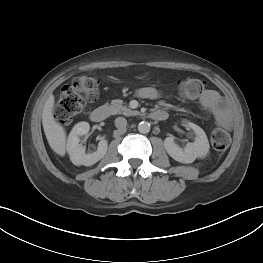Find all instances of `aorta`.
<instances>
[{
  "label": "aorta",
  "instance_id": "762f6f07",
  "mask_svg": "<svg viewBox=\"0 0 263 263\" xmlns=\"http://www.w3.org/2000/svg\"><path fill=\"white\" fill-rule=\"evenodd\" d=\"M138 131L142 134H146L150 131V124L146 121H142L138 125Z\"/></svg>",
  "mask_w": 263,
  "mask_h": 263
}]
</instances>
